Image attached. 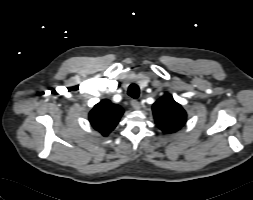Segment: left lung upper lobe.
<instances>
[{"instance_id": "left-lung-upper-lobe-1", "label": "left lung upper lobe", "mask_w": 253, "mask_h": 200, "mask_svg": "<svg viewBox=\"0 0 253 200\" xmlns=\"http://www.w3.org/2000/svg\"><path fill=\"white\" fill-rule=\"evenodd\" d=\"M157 126L165 133L179 130L186 122V112L171 95H165L153 104Z\"/></svg>"}]
</instances>
